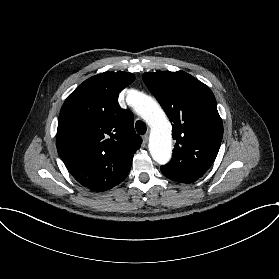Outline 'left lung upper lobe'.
<instances>
[{
    "instance_id": "left-lung-upper-lobe-1",
    "label": "left lung upper lobe",
    "mask_w": 279,
    "mask_h": 279,
    "mask_svg": "<svg viewBox=\"0 0 279 279\" xmlns=\"http://www.w3.org/2000/svg\"><path fill=\"white\" fill-rule=\"evenodd\" d=\"M143 80L173 123L174 153L163 167L199 179L216 159L223 137L212 91L183 71L146 72Z\"/></svg>"
}]
</instances>
